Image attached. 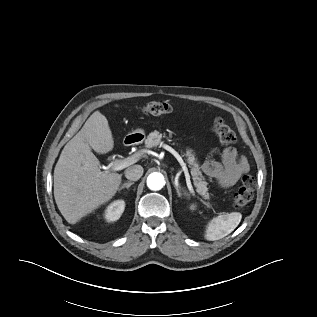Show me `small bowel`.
Instances as JSON below:
<instances>
[{"instance_id": "1", "label": "small bowel", "mask_w": 317, "mask_h": 317, "mask_svg": "<svg viewBox=\"0 0 317 317\" xmlns=\"http://www.w3.org/2000/svg\"><path fill=\"white\" fill-rule=\"evenodd\" d=\"M202 172L217 182L222 188L233 186L240 177L248 172L247 159L236 148L227 147L222 152L221 161L208 160L202 164Z\"/></svg>"}]
</instances>
